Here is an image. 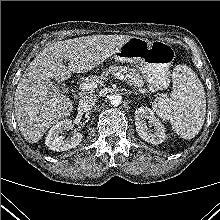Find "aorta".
<instances>
[{
    "label": "aorta",
    "instance_id": "762f6f07",
    "mask_svg": "<svg viewBox=\"0 0 220 220\" xmlns=\"http://www.w3.org/2000/svg\"><path fill=\"white\" fill-rule=\"evenodd\" d=\"M110 103L114 106H119L122 103V96L119 94L111 95Z\"/></svg>",
    "mask_w": 220,
    "mask_h": 220
}]
</instances>
